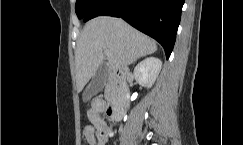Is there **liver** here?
<instances>
[{
    "label": "liver",
    "mask_w": 243,
    "mask_h": 145,
    "mask_svg": "<svg viewBox=\"0 0 243 145\" xmlns=\"http://www.w3.org/2000/svg\"><path fill=\"white\" fill-rule=\"evenodd\" d=\"M156 50L154 40L121 19L99 16L90 20L81 31L75 50L77 91H82L105 56L109 69L115 71Z\"/></svg>",
    "instance_id": "1"
}]
</instances>
